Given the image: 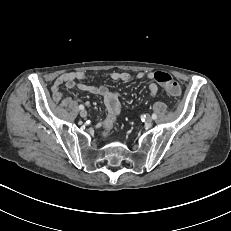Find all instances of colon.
<instances>
[{
	"mask_svg": "<svg viewBox=\"0 0 231 231\" xmlns=\"http://www.w3.org/2000/svg\"><path fill=\"white\" fill-rule=\"evenodd\" d=\"M154 80L164 86L166 92L171 96H179L181 94V88L179 84L172 80V76L163 71H157L153 75ZM111 127L105 128L106 130Z\"/></svg>",
	"mask_w": 231,
	"mask_h": 231,
	"instance_id": "colon-1",
	"label": "colon"
}]
</instances>
